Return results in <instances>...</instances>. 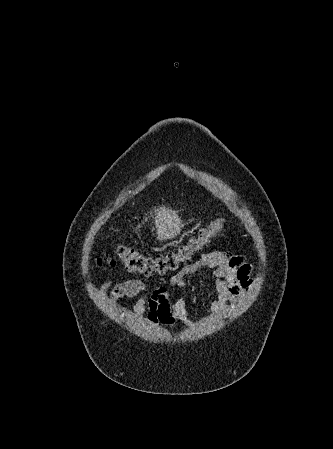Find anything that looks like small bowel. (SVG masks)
Segmentation results:
<instances>
[{
	"label": "small bowel",
	"instance_id": "obj_1",
	"mask_svg": "<svg viewBox=\"0 0 333 449\" xmlns=\"http://www.w3.org/2000/svg\"><path fill=\"white\" fill-rule=\"evenodd\" d=\"M202 270H210L214 284L215 296L210 300L211 310L216 314H224L227 311V303L230 299L240 302L244 298L254 282L253 268L245 258L226 252L213 251L205 253L201 258L173 275L167 286L156 288L150 295L147 293L145 284L138 279H130L116 285L105 282L101 291L109 293L112 300L124 297L139 296L134 305L137 317L143 318L152 324H161L166 327L177 325L188 326L190 324L189 313L183 296L171 300L172 289H184L185 278Z\"/></svg>",
	"mask_w": 333,
	"mask_h": 449
}]
</instances>
